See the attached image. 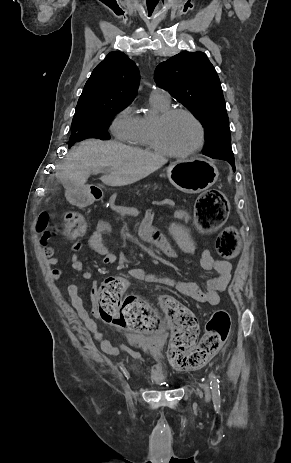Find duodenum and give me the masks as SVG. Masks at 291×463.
Masks as SVG:
<instances>
[{
  "mask_svg": "<svg viewBox=\"0 0 291 463\" xmlns=\"http://www.w3.org/2000/svg\"><path fill=\"white\" fill-rule=\"evenodd\" d=\"M90 195H91V198L93 200H100L103 197V192H102V190H100L98 188H92L91 192H90ZM157 247H159V246H157Z\"/></svg>",
  "mask_w": 291,
  "mask_h": 463,
  "instance_id": "1",
  "label": "duodenum"
}]
</instances>
